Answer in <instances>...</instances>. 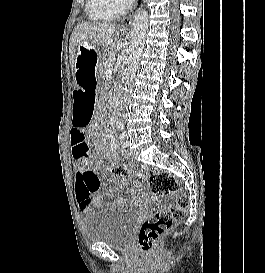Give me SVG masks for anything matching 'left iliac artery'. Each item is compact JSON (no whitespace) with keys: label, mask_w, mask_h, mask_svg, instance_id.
Returning a JSON list of instances; mask_svg holds the SVG:
<instances>
[{"label":"left iliac artery","mask_w":265,"mask_h":273,"mask_svg":"<svg viewBox=\"0 0 265 273\" xmlns=\"http://www.w3.org/2000/svg\"><path fill=\"white\" fill-rule=\"evenodd\" d=\"M116 125H117L118 129H120V130H123V129H124V123H123V122L118 121V122L116 123Z\"/></svg>","instance_id":"obj_1"}]
</instances>
